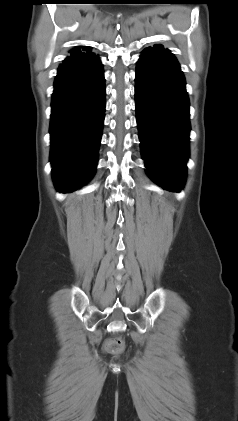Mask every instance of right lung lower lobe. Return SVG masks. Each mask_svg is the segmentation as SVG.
<instances>
[{
    "label": "right lung lower lobe",
    "mask_w": 238,
    "mask_h": 421,
    "mask_svg": "<svg viewBox=\"0 0 238 421\" xmlns=\"http://www.w3.org/2000/svg\"><path fill=\"white\" fill-rule=\"evenodd\" d=\"M50 123L52 175L60 192L94 175L105 112L102 64L92 52L72 53L58 68Z\"/></svg>",
    "instance_id": "right-lung-lower-lobe-1"
}]
</instances>
